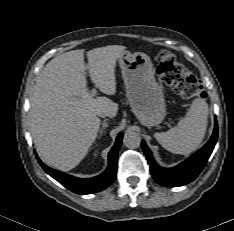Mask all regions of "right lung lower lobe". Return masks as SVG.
<instances>
[{
  "mask_svg": "<svg viewBox=\"0 0 234 231\" xmlns=\"http://www.w3.org/2000/svg\"><path fill=\"white\" fill-rule=\"evenodd\" d=\"M122 136V133L118 135L115 145L109 152V165L107 169L102 174L93 178H77L49 168L44 163H42L40 159H38V161L42 168L51 177H53L70 191L78 194L96 193L110 186L116 177L118 159L117 153L121 146Z\"/></svg>",
  "mask_w": 234,
  "mask_h": 231,
  "instance_id": "98d812e1",
  "label": "right lung lower lobe"
}]
</instances>
